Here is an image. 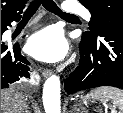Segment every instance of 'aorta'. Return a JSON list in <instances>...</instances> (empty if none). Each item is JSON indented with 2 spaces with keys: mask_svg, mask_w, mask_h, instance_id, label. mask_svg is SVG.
Masks as SVG:
<instances>
[{
  "mask_svg": "<svg viewBox=\"0 0 123 113\" xmlns=\"http://www.w3.org/2000/svg\"><path fill=\"white\" fill-rule=\"evenodd\" d=\"M60 78L56 75L50 76L43 87V105L45 113H61L60 106Z\"/></svg>",
  "mask_w": 123,
  "mask_h": 113,
  "instance_id": "1",
  "label": "aorta"
}]
</instances>
